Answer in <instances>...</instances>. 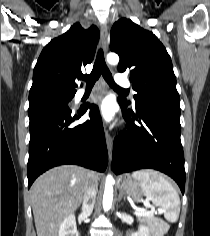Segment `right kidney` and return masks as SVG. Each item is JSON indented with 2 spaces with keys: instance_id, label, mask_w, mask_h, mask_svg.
I'll return each mask as SVG.
<instances>
[{
  "instance_id": "1",
  "label": "right kidney",
  "mask_w": 210,
  "mask_h": 236,
  "mask_svg": "<svg viewBox=\"0 0 210 236\" xmlns=\"http://www.w3.org/2000/svg\"><path fill=\"white\" fill-rule=\"evenodd\" d=\"M58 236H79L75 216L73 214L68 215L59 227Z\"/></svg>"
}]
</instances>
